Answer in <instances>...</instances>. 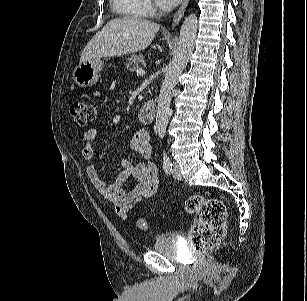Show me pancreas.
<instances>
[{"label": "pancreas", "mask_w": 307, "mask_h": 301, "mask_svg": "<svg viewBox=\"0 0 307 301\" xmlns=\"http://www.w3.org/2000/svg\"><path fill=\"white\" fill-rule=\"evenodd\" d=\"M145 64V58L143 55H133L128 58V63L125 64L126 68L129 71H134L136 70L139 65H144Z\"/></svg>", "instance_id": "obj_1"}]
</instances>
